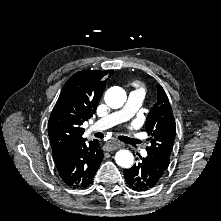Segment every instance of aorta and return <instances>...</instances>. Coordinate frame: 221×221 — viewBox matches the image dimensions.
Here are the masks:
<instances>
[{
    "instance_id": "aorta-1",
    "label": "aorta",
    "mask_w": 221,
    "mask_h": 221,
    "mask_svg": "<svg viewBox=\"0 0 221 221\" xmlns=\"http://www.w3.org/2000/svg\"><path fill=\"white\" fill-rule=\"evenodd\" d=\"M126 92L121 87H111L105 93V103L110 108H120L126 102ZM116 163L123 168H130L133 165L134 157L129 150H119L115 155Z\"/></svg>"
}]
</instances>
